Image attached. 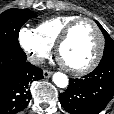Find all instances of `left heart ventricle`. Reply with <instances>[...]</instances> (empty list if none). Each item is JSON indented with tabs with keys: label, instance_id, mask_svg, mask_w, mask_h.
<instances>
[{
	"label": "left heart ventricle",
	"instance_id": "1",
	"mask_svg": "<svg viewBox=\"0 0 114 114\" xmlns=\"http://www.w3.org/2000/svg\"><path fill=\"white\" fill-rule=\"evenodd\" d=\"M99 45L98 35L89 22L79 23L61 49V60L70 67L81 68L94 58Z\"/></svg>",
	"mask_w": 114,
	"mask_h": 114
}]
</instances>
